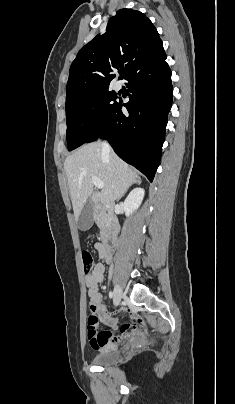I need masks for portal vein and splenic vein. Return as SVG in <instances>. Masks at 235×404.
I'll use <instances>...</instances> for the list:
<instances>
[{"label":"portal vein and splenic vein","mask_w":235,"mask_h":404,"mask_svg":"<svg viewBox=\"0 0 235 404\" xmlns=\"http://www.w3.org/2000/svg\"><path fill=\"white\" fill-rule=\"evenodd\" d=\"M92 183L99 189H102L104 187V182L101 181L98 177L92 176Z\"/></svg>","instance_id":"obj_1"}]
</instances>
